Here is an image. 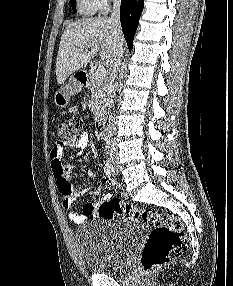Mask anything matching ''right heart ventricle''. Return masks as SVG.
<instances>
[{
	"mask_svg": "<svg viewBox=\"0 0 233 286\" xmlns=\"http://www.w3.org/2000/svg\"><path fill=\"white\" fill-rule=\"evenodd\" d=\"M77 3L80 13L86 16L93 15L99 10L95 0H77Z\"/></svg>",
	"mask_w": 233,
	"mask_h": 286,
	"instance_id": "right-heart-ventricle-1",
	"label": "right heart ventricle"
}]
</instances>
